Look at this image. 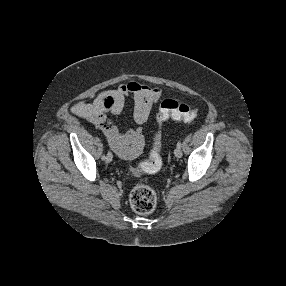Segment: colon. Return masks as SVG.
Segmentation results:
<instances>
[{
  "mask_svg": "<svg viewBox=\"0 0 286 286\" xmlns=\"http://www.w3.org/2000/svg\"><path fill=\"white\" fill-rule=\"evenodd\" d=\"M198 115V109L185 103L167 99L164 100L156 115L158 124H161L169 118L182 120L185 122L193 121ZM161 142L160 135H157L153 147L150 151V159L140 165V169L146 173H156L161 167L160 156ZM130 204L134 211L139 214L151 213L157 204L155 191L147 184L137 185L130 194Z\"/></svg>",
  "mask_w": 286,
  "mask_h": 286,
  "instance_id": "colon-1",
  "label": "colon"
}]
</instances>
